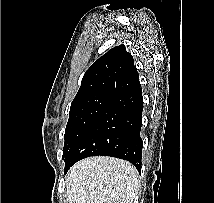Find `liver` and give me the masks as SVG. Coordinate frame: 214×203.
I'll use <instances>...</instances> for the list:
<instances>
[{
    "label": "liver",
    "mask_w": 214,
    "mask_h": 203,
    "mask_svg": "<svg viewBox=\"0 0 214 203\" xmlns=\"http://www.w3.org/2000/svg\"><path fill=\"white\" fill-rule=\"evenodd\" d=\"M138 172L127 161L90 157L76 163L66 176L67 203H132Z\"/></svg>",
    "instance_id": "liver-1"
}]
</instances>
